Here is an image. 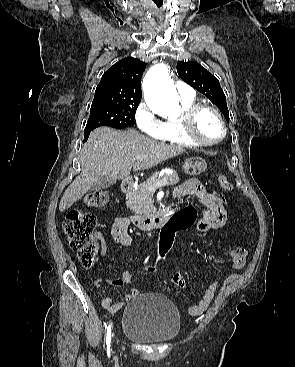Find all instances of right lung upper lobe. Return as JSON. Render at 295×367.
Masks as SVG:
<instances>
[{"label": "right lung upper lobe", "mask_w": 295, "mask_h": 367, "mask_svg": "<svg viewBox=\"0 0 295 367\" xmlns=\"http://www.w3.org/2000/svg\"><path fill=\"white\" fill-rule=\"evenodd\" d=\"M146 65L137 58H124L102 76L95 96L141 100V78Z\"/></svg>", "instance_id": "cb5924a9"}]
</instances>
